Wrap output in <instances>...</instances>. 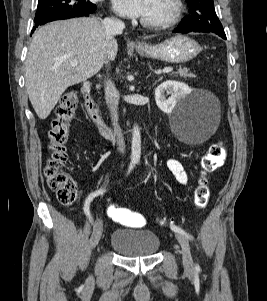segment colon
<instances>
[{
  "label": "colon",
  "mask_w": 267,
  "mask_h": 301,
  "mask_svg": "<svg viewBox=\"0 0 267 301\" xmlns=\"http://www.w3.org/2000/svg\"><path fill=\"white\" fill-rule=\"evenodd\" d=\"M78 99L75 91H68L62 96L48 134L49 158L44 173L48 186L56 193L58 201L63 205H71L77 198L76 183L62 168L68 159L66 145L70 122L77 109ZM226 157V147L221 142L213 144L202 157L201 172L194 190V202L198 208H205L210 199L207 174L221 167ZM105 212L110 220L119 224L141 225L143 223L140 214L119 206L111 198L106 199Z\"/></svg>",
  "instance_id": "obj_1"
}]
</instances>
